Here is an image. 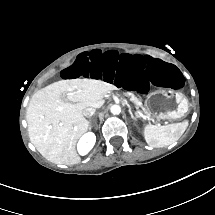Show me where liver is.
I'll use <instances>...</instances> for the list:
<instances>
[{
  "label": "liver",
  "mask_w": 215,
  "mask_h": 215,
  "mask_svg": "<svg viewBox=\"0 0 215 215\" xmlns=\"http://www.w3.org/2000/svg\"><path fill=\"white\" fill-rule=\"evenodd\" d=\"M115 87L101 80L76 78L56 81L35 92L27 108L26 120L31 143L51 162L77 164L75 143L87 131L82 111L100 108L103 96ZM66 95L67 102L61 100Z\"/></svg>",
  "instance_id": "1"
}]
</instances>
